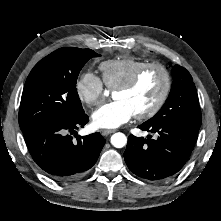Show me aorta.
Returning a JSON list of instances; mask_svg holds the SVG:
<instances>
[{
  "label": "aorta",
  "instance_id": "762f6f07",
  "mask_svg": "<svg viewBox=\"0 0 221 221\" xmlns=\"http://www.w3.org/2000/svg\"><path fill=\"white\" fill-rule=\"evenodd\" d=\"M127 143V137L121 132H117L111 136V144L116 148H122Z\"/></svg>",
  "mask_w": 221,
  "mask_h": 221
}]
</instances>
